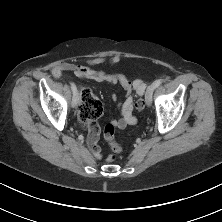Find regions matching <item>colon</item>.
Listing matches in <instances>:
<instances>
[{"instance_id":"5ec220e1","label":"colon","mask_w":222,"mask_h":222,"mask_svg":"<svg viewBox=\"0 0 222 222\" xmlns=\"http://www.w3.org/2000/svg\"><path fill=\"white\" fill-rule=\"evenodd\" d=\"M82 103L79 109V120L83 127L86 126L89 120L100 117L102 114V103L88 88H84L81 91ZM136 108L142 110L144 108V102L142 99L136 103ZM105 138L109 143L114 153L121 151V146L114 139V126L108 124L105 127ZM116 158L115 154L108 156V161H113Z\"/></svg>"}]
</instances>
